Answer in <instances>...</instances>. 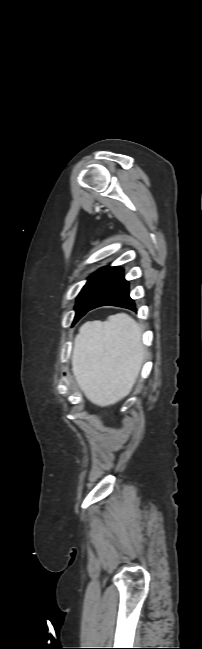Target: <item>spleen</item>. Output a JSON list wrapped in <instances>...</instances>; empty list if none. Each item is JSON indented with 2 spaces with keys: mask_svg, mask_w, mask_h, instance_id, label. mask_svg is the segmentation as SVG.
Here are the masks:
<instances>
[{
  "mask_svg": "<svg viewBox=\"0 0 202 649\" xmlns=\"http://www.w3.org/2000/svg\"><path fill=\"white\" fill-rule=\"evenodd\" d=\"M141 329L127 314L84 324L75 339L72 372L85 396L100 406L131 391L143 364Z\"/></svg>",
  "mask_w": 202,
  "mask_h": 649,
  "instance_id": "spleen-1",
  "label": "spleen"
}]
</instances>
